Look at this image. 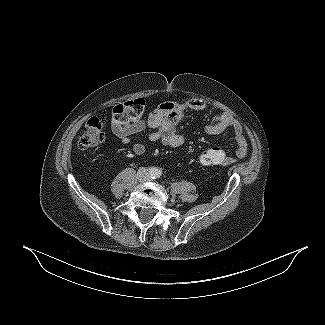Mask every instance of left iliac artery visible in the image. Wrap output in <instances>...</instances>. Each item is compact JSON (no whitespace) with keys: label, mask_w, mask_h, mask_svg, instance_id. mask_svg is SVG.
Listing matches in <instances>:
<instances>
[{"label":"left iliac artery","mask_w":325,"mask_h":325,"mask_svg":"<svg viewBox=\"0 0 325 325\" xmlns=\"http://www.w3.org/2000/svg\"><path fill=\"white\" fill-rule=\"evenodd\" d=\"M157 177H159V175L158 174H156L154 177H152L153 179H155V178H157Z\"/></svg>","instance_id":"1"}]
</instances>
